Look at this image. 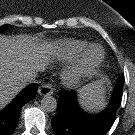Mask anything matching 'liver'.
Listing matches in <instances>:
<instances>
[{
	"label": "liver",
	"mask_w": 135,
	"mask_h": 135,
	"mask_svg": "<svg viewBox=\"0 0 135 135\" xmlns=\"http://www.w3.org/2000/svg\"><path fill=\"white\" fill-rule=\"evenodd\" d=\"M54 53L27 36L0 35V110L26 86L28 72L44 71Z\"/></svg>",
	"instance_id": "liver-1"
}]
</instances>
